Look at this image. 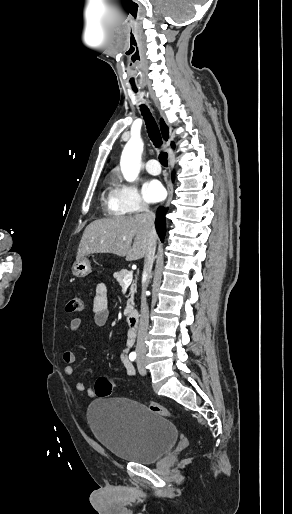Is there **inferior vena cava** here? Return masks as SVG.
I'll return each instance as SVG.
<instances>
[{"label": "inferior vena cava", "mask_w": 292, "mask_h": 514, "mask_svg": "<svg viewBox=\"0 0 292 514\" xmlns=\"http://www.w3.org/2000/svg\"><path fill=\"white\" fill-rule=\"evenodd\" d=\"M147 214V238H148V246L147 252L144 260V270L143 274H145L146 278L151 276V270L154 262L155 250H156V242H157V234L154 226L155 214L153 212H149V210H145ZM149 280L143 282L142 284V294H141V316L137 334V344H136V352L137 356L140 354H146L145 348V338L149 326V310L147 306L146 300V290L148 288Z\"/></svg>", "instance_id": "602c4592"}]
</instances>
